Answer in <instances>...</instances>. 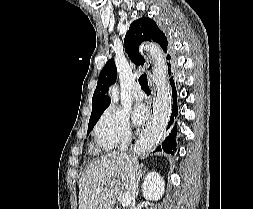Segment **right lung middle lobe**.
Returning <instances> with one entry per match:
<instances>
[{"label": "right lung middle lobe", "mask_w": 253, "mask_h": 209, "mask_svg": "<svg viewBox=\"0 0 253 209\" xmlns=\"http://www.w3.org/2000/svg\"><path fill=\"white\" fill-rule=\"evenodd\" d=\"M99 118H100V117H97V118H94V119H90V120H89L87 134L90 133V131H91L92 128L95 126V124L97 123V121L99 120Z\"/></svg>", "instance_id": "right-lung-middle-lobe-1"}]
</instances>
